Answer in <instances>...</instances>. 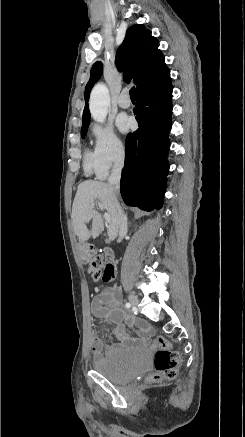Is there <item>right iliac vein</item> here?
I'll list each match as a JSON object with an SVG mask.
<instances>
[{
	"label": "right iliac vein",
	"instance_id": "obj_1",
	"mask_svg": "<svg viewBox=\"0 0 245 437\" xmlns=\"http://www.w3.org/2000/svg\"><path fill=\"white\" fill-rule=\"evenodd\" d=\"M128 300H129L130 304L133 305V306H137L138 303H139L138 298L135 295H132V294L128 295Z\"/></svg>",
	"mask_w": 245,
	"mask_h": 437
}]
</instances>
